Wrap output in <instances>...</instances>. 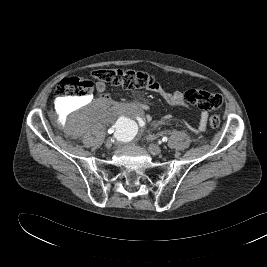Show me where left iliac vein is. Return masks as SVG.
Wrapping results in <instances>:
<instances>
[{
    "label": "left iliac vein",
    "mask_w": 267,
    "mask_h": 267,
    "mask_svg": "<svg viewBox=\"0 0 267 267\" xmlns=\"http://www.w3.org/2000/svg\"><path fill=\"white\" fill-rule=\"evenodd\" d=\"M148 150L152 155H159L162 152V149L160 148V146L156 144H149Z\"/></svg>",
    "instance_id": "obj_1"
}]
</instances>
